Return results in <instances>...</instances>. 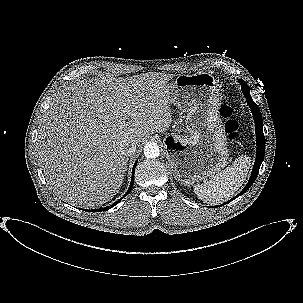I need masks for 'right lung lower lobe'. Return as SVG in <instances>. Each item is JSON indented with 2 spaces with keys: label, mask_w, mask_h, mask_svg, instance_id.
Returning <instances> with one entry per match:
<instances>
[{
  "label": "right lung lower lobe",
  "mask_w": 303,
  "mask_h": 303,
  "mask_svg": "<svg viewBox=\"0 0 303 303\" xmlns=\"http://www.w3.org/2000/svg\"><path fill=\"white\" fill-rule=\"evenodd\" d=\"M136 165H137V161L135 162V164H134V166H133V170H132V179H131V184H130V188H129V190H128V192L122 197V198H124L125 196H127V194L132 190V188H133V184H134V170H135V167H136ZM121 198V199H122ZM120 199V200H121ZM119 200V201H120ZM118 202H115L111 207H114L116 204H117ZM110 207L108 206V207H105V208H101V209H96V210H90V211H104V210H108Z\"/></svg>",
  "instance_id": "98d812e1"
}]
</instances>
